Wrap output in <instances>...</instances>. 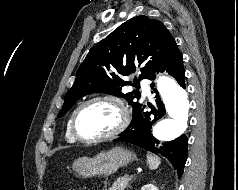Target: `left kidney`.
<instances>
[{
  "label": "left kidney",
  "mask_w": 238,
  "mask_h": 190,
  "mask_svg": "<svg viewBox=\"0 0 238 190\" xmlns=\"http://www.w3.org/2000/svg\"><path fill=\"white\" fill-rule=\"evenodd\" d=\"M141 190H158V188L153 184L144 185Z\"/></svg>",
  "instance_id": "5707ae66"
}]
</instances>
